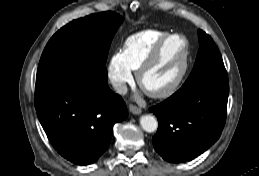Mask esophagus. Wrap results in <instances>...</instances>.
I'll return each instance as SVG.
<instances>
[{
    "mask_svg": "<svg viewBox=\"0 0 259 176\" xmlns=\"http://www.w3.org/2000/svg\"><path fill=\"white\" fill-rule=\"evenodd\" d=\"M129 110H130L131 113H133L135 115H139L142 112V110L139 107L135 106V105H130L129 106Z\"/></svg>",
    "mask_w": 259,
    "mask_h": 176,
    "instance_id": "1",
    "label": "esophagus"
}]
</instances>
